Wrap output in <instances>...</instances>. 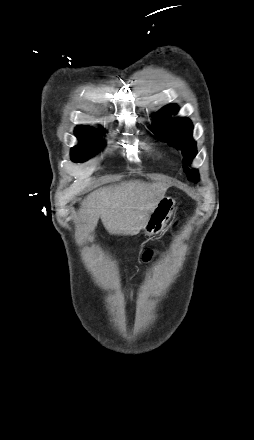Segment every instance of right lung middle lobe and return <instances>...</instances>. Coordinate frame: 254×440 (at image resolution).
Wrapping results in <instances>:
<instances>
[{"instance_id":"obj_1","label":"right lung middle lobe","mask_w":254,"mask_h":440,"mask_svg":"<svg viewBox=\"0 0 254 440\" xmlns=\"http://www.w3.org/2000/svg\"><path fill=\"white\" fill-rule=\"evenodd\" d=\"M80 144L71 149V157L74 162H84L96 154L103 146L101 137L96 131L75 130Z\"/></svg>"}]
</instances>
